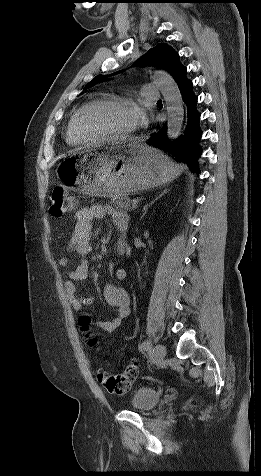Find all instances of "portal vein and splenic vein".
<instances>
[{
    "mask_svg": "<svg viewBox=\"0 0 261 476\" xmlns=\"http://www.w3.org/2000/svg\"><path fill=\"white\" fill-rule=\"evenodd\" d=\"M131 205L133 209H136L138 207V202L136 200L131 201Z\"/></svg>",
    "mask_w": 261,
    "mask_h": 476,
    "instance_id": "obj_1",
    "label": "portal vein and splenic vein"
}]
</instances>
